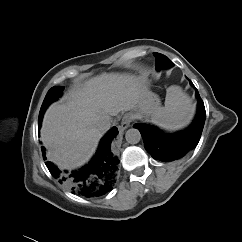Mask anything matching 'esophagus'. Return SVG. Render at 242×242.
Masks as SVG:
<instances>
[{
    "mask_svg": "<svg viewBox=\"0 0 242 242\" xmlns=\"http://www.w3.org/2000/svg\"><path fill=\"white\" fill-rule=\"evenodd\" d=\"M130 126V120L128 118H124L121 122L120 129L125 130Z\"/></svg>",
    "mask_w": 242,
    "mask_h": 242,
    "instance_id": "1",
    "label": "esophagus"
}]
</instances>
